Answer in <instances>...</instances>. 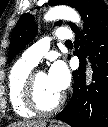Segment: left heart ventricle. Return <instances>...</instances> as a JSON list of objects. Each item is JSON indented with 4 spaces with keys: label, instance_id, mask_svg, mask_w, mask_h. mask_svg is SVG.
Masks as SVG:
<instances>
[{
    "label": "left heart ventricle",
    "instance_id": "left-heart-ventricle-1",
    "mask_svg": "<svg viewBox=\"0 0 108 127\" xmlns=\"http://www.w3.org/2000/svg\"><path fill=\"white\" fill-rule=\"evenodd\" d=\"M36 93L40 104L43 107L52 106L60 96L49 84L47 74L39 73L36 78Z\"/></svg>",
    "mask_w": 108,
    "mask_h": 127
}]
</instances>
